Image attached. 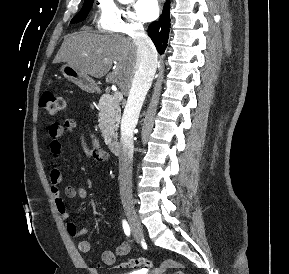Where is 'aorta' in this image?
<instances>
[{
  "label": "aorta",
  "instance_id": "762f6f07",
  "mask_svg": "<svg viewBox=\"0 0 289 274\" xmlns=\"http://www.w3.org/2000/svg\"><path fill=\"white\" fill-rule=\"evenodd\" d=\"M121 3H127L130 0H119Z\"/></svg>",
  "mask_w": 289,
  "mask_h": 274
}]
</instances>
